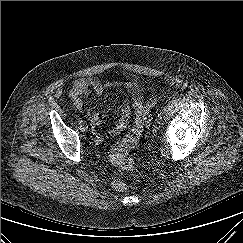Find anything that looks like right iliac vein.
I'll use <instances>...</instances> for the list:
<instances>
[{
	"label": "right iliac vein",
	"instance_id": "63e3f726",
	"mask_svg": "<svg viewBox=\"0 0 243 243\" xmlns=\"http://www.w3.org/2000/svg\"><path fill=\"white\" fill-rule=\"evenodd\" d=\"M88 129V125H87V123H85V122H82L81 124H80V130L81 131H86Z\"/></svg>",
	"mask_w": 243,
	"mask_h": 243
}]
</instances>
